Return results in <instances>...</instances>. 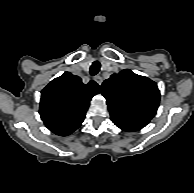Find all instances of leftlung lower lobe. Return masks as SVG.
Listing matches in <instances>:
<instances>
[{
    "instance_id": "left-lung-lower-lobe-1",
    "label": "left lung lower lobe",
    "mask_w": 194,
    "mask_h": 193,
    "mask_svg": "<svg viewBox=\"0 0 194 193\" xmlns=\"http://www.w3.org/2000/svg\"><path fill=\"white\" fill-rule=\"evenodd\" d=\"M112 121L116 126H118L120 129H122L124 131L133 132V131H138L142 128V127H139V126H136V125H133V124H130V123H126V122H123V121H120V120L112 119Z\"/></svg>"
}]
</instances>
